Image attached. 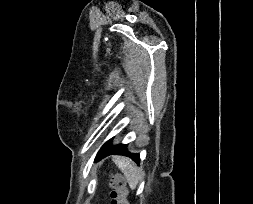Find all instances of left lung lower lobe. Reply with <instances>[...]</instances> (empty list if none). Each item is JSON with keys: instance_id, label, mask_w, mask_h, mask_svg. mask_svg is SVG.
<instances>
[{"instance_id": "1", "label": "left lung lower lobe", "mask_w": 253, "mask_h": 204, "mask_svg": "<svg viewBox=\"0 0 253 204\" xmlns=\"http://www.w3.org/2000/svg\"><path fill=\"white\" fill-rule=\"evenodd\" d=\"M111 142H112V139L107 141L102 146V148L99 150L95 160H98V159L102 158L103 156H107L109 154H117V155L128 156V157L132 158L137 164H139V162H140L139 154L128 153L127 145H123V144H119V145L110 147Z\"/></svg>"}]
</instances>
